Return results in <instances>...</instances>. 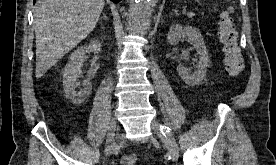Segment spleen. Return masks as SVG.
<instances>
[{"label":"spleen","instance_id":"3e777b00","mask_svg":"<svg viewBox=\"0 0 276 165\" xmlns=\"http://www.w3.org/2000/svg\"><path fill=\"white\" fill-rule=\"evenodd\" d=\"M227 1H230V0H227ZM228 10L232 13L234 12V8L233 7H229Z\"/></svg>","mask_w":276,"mask_h":165}]
</instances>
